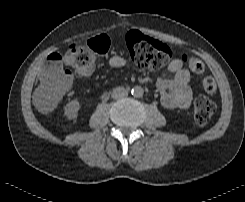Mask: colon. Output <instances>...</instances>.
<instances>
[{
	"mask_svg": "<svg viewBox=\"0 0 245 202\" xmlns=\"http://www.w3.org/2000/svg\"><path fill=\"white\" fill-rule=\"evenodd\" d=\"M126 43L131 59L139 68L158 70L173 58V51L166 43L134 31L127 33ZM110 44V37L103 34L81 45L70 46L64 54L58 52L51 54L47 59V69L38 92L40 111L51 112L70 89L72 75H83L90 68L95 55L106 53ZM183 61L194 73H203L204 64L201 60L184 56ZM202 86L208 94H213L217 90L216 83L211 77H205ZM216 107L211 99L198 98L193 110L196 123L207 124L215 113Z\"/></svg>",
	"mask_w": 245,
	"mask_h": 202,
	"instance_id": "obj_1",
	"label": "colon"
}]
</instances>
